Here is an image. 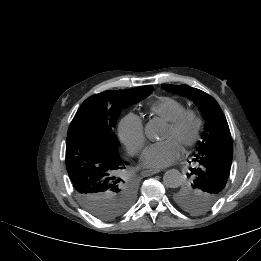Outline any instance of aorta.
<instances>
[{
    "label": "aorta",
    "mask_w": 261,
    "mask_h": 261,
    "mask_svg": "<svg viewBox=\"0 0 261 261\" xmlns=\"http://www.w3.org/2000/svg\"><path fill=\"white\" fill-rule=\"evenodd\" d=\"M162 125L160 123L149 122L145 127V134L149 139L159 138ZM166 187L177 188L182 184V174L176 169L167 170L163 176Z\"/></svg>",
    "instance_id": "1"
}]
</instances>
